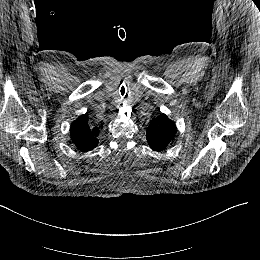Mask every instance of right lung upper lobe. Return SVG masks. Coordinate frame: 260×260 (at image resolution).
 <instances>
[{"label":"right lung upper lobe","mask_w":260,"mask_h":260,"mask_svg":"<svg viewBox=\"0 0 260 260\" xmlns=\"http://www.w3.org/2000/svg\"><path fill=\"white\" fill-rule=\"evenodd\" d=\"M99 128L90 125L86 114L79 116L70 128L72 143L84 152L94 149L98 145Z\"/></svg>","instance_id":"1"}]
</instances>
